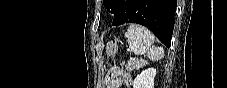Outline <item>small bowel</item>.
Here are the masks:
<instances>
[{"label":"small bowel","instance_id":"c3829d8e","mask_svg":"<svg viewBox=\"0 0 227 88\" xmlns=\"http://www.w3.org/2000/svg\"><path fill=\"white\" fill-rule=\"evenodd\" d=\"M130 80L131 76L129 73L116 69L109 74L106 84L108 88H118Z\"/></svg>","mask_w":227,"mask_h":88}]
</instances>
